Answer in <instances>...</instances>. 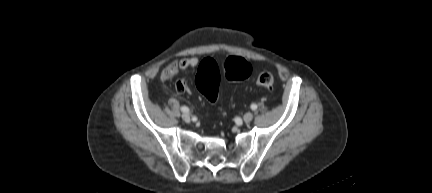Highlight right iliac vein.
Masks as SVG:
<instances>
[{
	"label": "right iliac vein",
	"instance_id": "63e3f726",
	"mask_svg": "<svg viewBox=\"0 0 432 193\" xmlns=\"http://www.w3.org/2000/svg\"><path fill=\"white\" fill-rule=\"evenodd\" d=\"M182 119L185 121V122H190V115H189V113H187V112H185V113H183L182 114Z\"/></svg>",
	"mask_w": 432,
	"mask_h": 193
}]
</instances>
